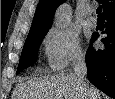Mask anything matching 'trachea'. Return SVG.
<instances>
[{
  "instance_id": "obj_1",
  "label": "trachea",
  "mask_w": 115,
  "mask_h": 99,
  "mask_svg": "<svg viewBox=\"0 0 115 99\" xmlns=\"http://www.w3.org/2000/svg\"><path fill=\"white\" fill-rule=\"evenodd\" d=\"M101 12H102V6H99L96 10V13H98V16H101Z\"/></svg>"
}]
</instances>
